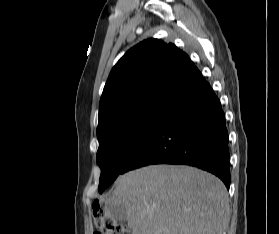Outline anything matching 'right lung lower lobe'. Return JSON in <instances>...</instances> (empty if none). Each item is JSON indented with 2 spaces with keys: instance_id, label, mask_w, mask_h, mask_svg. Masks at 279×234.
<instances>
[{
  "instance_id": "1",
  "label": "right lung lower lobe",
  "mask_w": 279,
  "mask_h": 234,
  "mask_svg": "<svg viewBox=\"0 0 279 234\" xmlns=\"http://www.w3.org/2000/svg\"><path fill=\"white\" fill-rule=\"evenodd\" d=\"M185 164L218 176L229 189V148L225 114L202 75L172 102L123 168Z\"/></svg>"
}]
</instances>
